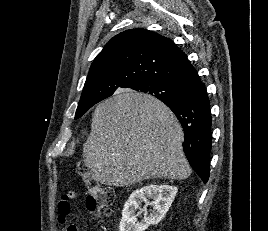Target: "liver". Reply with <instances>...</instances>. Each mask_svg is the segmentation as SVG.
<instances>
[{
  "label": "liver",
  "instance_id": "liver-1",
  "mask_svg": "<svg viewBox=\"0 0 268 231\" xmlns=\"http://www.w3.org/2000/svg\"><path fill=\"white\" fill-rule=\"evenodd\" d=\"M183 140L180 123L163 102L120 90L97 105L83 158L95 181L108 186L151 178L184 180L191 168Z\"/></svg>",
  "mask_w": 268,
  "mask_h": 231
}]
</instances>
